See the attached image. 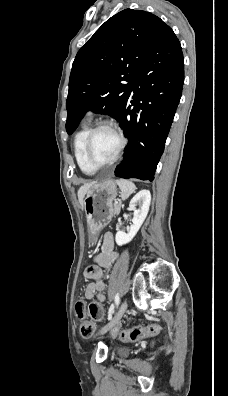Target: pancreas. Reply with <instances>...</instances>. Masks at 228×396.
<instances>
[{
  "label": "pancreas",
  "mask_w": 228,
  "mask_h": 396,
  "mask_svg": "<svg viewBox=\"0 0 228 396\" xmlns=\"http://www.w3.org/2000/svg\"><path fill=\"white\" fill-rule=\"evenodd\" d=\"M120 211V204H114L113 205V214H118ZM113 219H116V216H113Z\"/></svg>",
  "instance_id": "obj_1"
}]
</instances>
